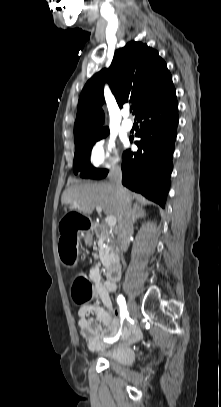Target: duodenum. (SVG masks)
<instances>
[{
	"label": "duodenum",
	"mask_w": 221,
	"mask_h": 407,
	"mask_svg": "<svg viewBox=\"0 0 221 407\" xmlns=\"http://www.w3.org/2000/svg\"><path fill=\"white\" fill-rule=\"evenodd\" d=\"M121 276V266L118 263L111 264L107 270V278L111 281H118Z\"/></svg>",
	"instance_id": "410a0bca"
}]
</instances>
